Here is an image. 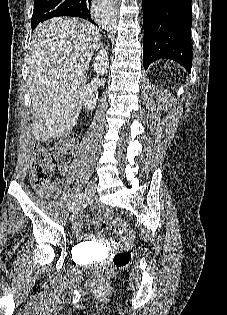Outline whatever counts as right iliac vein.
<instances>
[{"label":"right iliac vein","mask_w":227,"mask_h":315,"mask_svg":"<svg viewBox=\"0 0 227 315\" xmlns=\"http://www.w3.org/2000/svg\"><path fill=\"white\" fill-rule=\"evenodd\" d=\"M95 189H96L95 181H90L85 189L83 198L78 202L76 208L73 210V213L71 215L72 220L76 219L82 213L85 202L92 198V196L95 193Z\"/></svg>","instance_id":"63e3f726"}]
</instances>
